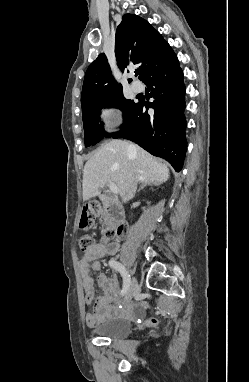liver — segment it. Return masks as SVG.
I'll return each instance as SVG.
<instances>
[{
  "mask_svg": "<svg viewBox=\"0 0 249 382\" xmlns=\"http://www.w3.org/2000/svg\"><path fill=\"white\" fill-rule=\"evenodd\" d=\"M130 146L133 148L130 149ZM169 178L165 163L127 141L111 140L102 145L86 162L83 171V200L100 195L109 183L124 196L132 181L163 183Z\"/></svg>",
  "mask_w": 249,
  "mask_h": 382,
  "instance_id": "1",
  "label": "liver"
}]
</instances>
